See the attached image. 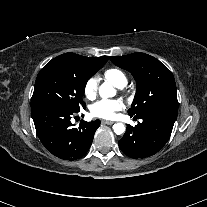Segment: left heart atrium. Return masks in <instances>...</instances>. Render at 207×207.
I'll list each match as a JSON object with an SVG mask.
<instances>
[{
    "label": "left heart atrium",
    "mask_w": 207,
    "mask_h": 207,
    "mask_svg": "<svg viewBox=\"0 0 207 207\" xmlns=\"http://www.w3.org/2000/svg\"><path fill=\"white\" fill-rule=\"evenodd\" d=\"M123 109V104L118 100H101L91 107V114L95 117L110 119Z\"/></svg>",
    "instance_id": "39dd6f15"
}]
</instances>
